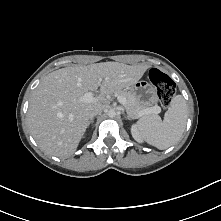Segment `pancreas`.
Returning a JSON list of instances; mask_svg holds the SVG:
<instances>
[{"instance_id":"pancreas-1","label":"pancreas","mask_w":221,"mask_h":221,"mask_svg":"<svg viewBox=\"0 0 221 221\" xmlns=\"http://www.w3.org/2000/svg\"><path fill=\"white\" fill-rule=\"evenodd\" d=\"M116 96H122L126 99V105L125 109L127 114L132 118L136 119L140 117V112L147 109L151 108L149 106H143L140 101L136 98L135 95H133L130 91L122 90V89H117L113 92ZM153 107H158L153 106ZM158 113V112H154Z\"/></svg>"}]
</instances>
